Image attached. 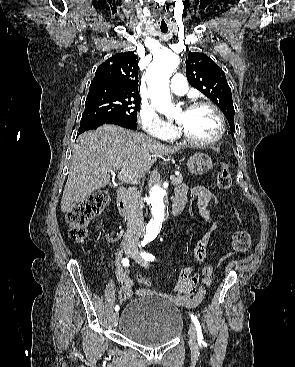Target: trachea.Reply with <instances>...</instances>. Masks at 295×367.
<instances>
[{
	"instance_id": "3493384b",
	"label": "trachea",
	"mask_w": 295,
	"mask_h": 367,
	"mask_svg": "<svg viewBox=\"0 0 295 367\" xmlns=\"http://www.w3.org/2000/svg\"><path fill=\"white\" fill-rule=\"evenodd\" d=\"M167 31H168V27L167 26H165V27H162L161 26V32L166 33Z\"/></svg>"
}]
</instances>
